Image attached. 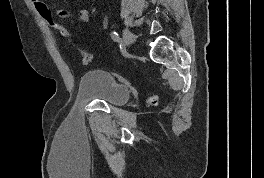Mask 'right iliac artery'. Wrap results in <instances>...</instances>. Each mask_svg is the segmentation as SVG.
I'll return each mask as SVG.
<instances>
[{"label":"right iliac artery","instance_id":"obj_1","mask_svg":"<svg viewBox=\"0 0 264 178\" xmlns=\"http://www.w3.org/2000/svg\"><path fill=\"white\" fill-rule=\"evenodd\" d=\"M111 38L114 42L120 41V37H119L118 33H116L115 31L111 33Z\"/></svg>","mask_w":264,"mask_h":178}]
</instances>
